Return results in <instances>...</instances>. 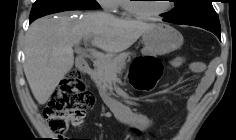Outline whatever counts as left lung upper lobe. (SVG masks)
<instances>
[{
	"label": "left lung upper lobe",
	"instance_id": "1",
	"mask_svg": "<svg viewBox=\"0 0 236 140\" xmlns=\"http://www.w3.org/2000/svg\"><path fill=\"white\" fill-rule=\"evenodd\" d=\"M174 2L175 9L162 15L169 22L221 32L219 18L212 6V0H174Z\"/></svg>",
	"mask_w": 236,
	"mask_h": 140
}]
</instances>
